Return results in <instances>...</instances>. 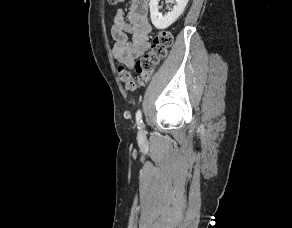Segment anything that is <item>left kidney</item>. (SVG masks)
<instances>
[{
    "label": "left kidney",
    "instance_id": "1",
    "mask_svg": "<svg viewBox=\"0 0 292 228\" xmlns=\"http://www.w3.org/2000/svg\"><path fill=\"white\" fill-rule=\"evenodd\" d=\"M169 1V0H168ZM173 10L165 14L164 16L159 12L158 4L159 0H150V17L152 24L157 29H165L174 23L178 17L183 13L189 0H175Z\"/></svg>",
    "mask_w": 292,
    "mask_h": 228
}]
</instances>
